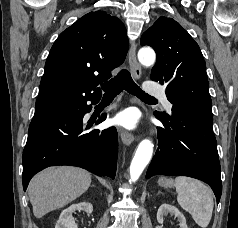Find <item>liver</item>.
I'll return each mask as SVG.
<instances>
[{"mask_svg":"<svg viewBox=\"0 0 238 228\" xmlns=\"http://www.w3.org/2000/svg\"><path fill=\"white\" fill-rule=\"evenodd\" d=\"M91 184V174L76 167H50L35 175L28 195L36 218L59 209L82 195Z\"/></svg>","mask_w":238,"mask_h":228,"instance_id":"6515ba94","label":"liver"}]
</instances>
